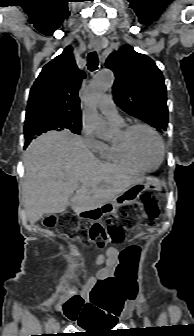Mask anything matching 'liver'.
I'll list each match as a JSON object with an SVG mask.
<instances>
[{
  "instance_id": "6515ba94",
  "label": "liver",
  "mask_w": 194,
  "mask_h": 336,
  "mask_svg": "<svg viewBox=\"0 0 194 336\" xmlns=\"http://www.w3.org/2000/svg\"><path fill=\"white\" fill-rule=\"evenodd\" d=\"M24 168L25 206L32 225L44 214L65 211L70 202L75 213L94 209L143 181L132 169L101 162L80 137L66 131L33 140L24 153Z\"/></svg>"
}]
</instances>
